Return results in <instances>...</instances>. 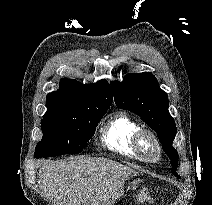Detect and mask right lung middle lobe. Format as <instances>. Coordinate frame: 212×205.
Segmentation results:
<instances>
[{
	"label": "right lung middle lobe",
	"mask_w": 212,
	"mask_h": 205,
	"mask_svg": "<svg viewBox=\"0 0 212 205\" xmlns=\"http://www.w3.org/2000/svg\"><path fill=\"white\" fill-rule=\"evenodd\" d=\"M109 107H77L57 115H44L41 121L43 138L37 144L34 156L42 158L80 153Z\"/></svg>",
	"instance_id": "dd1d6c3e"
}]
</instances>
